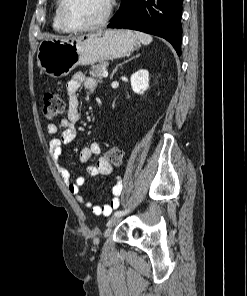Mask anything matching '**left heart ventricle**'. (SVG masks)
Listing matches in <instances>:
<instances>
[{
  "mask_svg": "<svg viewBox=\"0 0 247 296\" xmlns=\"http://www.w3.org/2000/svg\"><path fill=\"white\" fill-rule=\"evenodd\" d=\"M105 11L106 0H69L66 17L71 25L81 27L98 22Z\"/></svg>",
  "mask_w": 247,
  "mask_h": 296,
  "instance_id": "left-heart-ventricle-1",
  "label": "left heart ventricle"
}]
</instances>
